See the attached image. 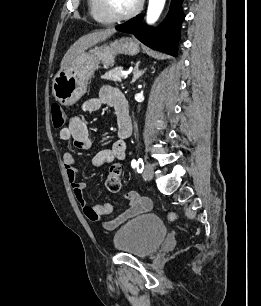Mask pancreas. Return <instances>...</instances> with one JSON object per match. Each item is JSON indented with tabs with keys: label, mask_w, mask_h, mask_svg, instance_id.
Listing matches in <instances>:
<instances>
[{
	"label": "pancreas",
	"mask_w": 261,
	"mask_h": 306,
	"mask_svg": "<svg viewBox=\"0 0 261 306\" xmlns=\"http://www.w3.org/2000/svg\"><path fill=\"white\" fill-rule=\"evenodd\" d=\"M121 71H122V67H116L112 69L111 71L106 72L103 75V79L111 80L114 82H121V75H122Z\"/></svg>",
	"instance_id": "cf45deb5"
}]
</instances>
